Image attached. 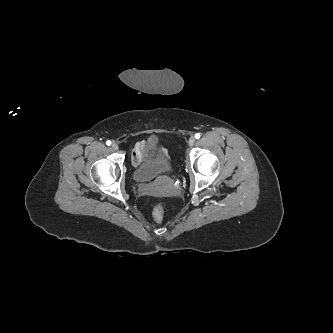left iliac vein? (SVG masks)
Instances as JSON below:
<instances>
[{
  "mask_svg": "<svg viewBox=\"0 0 333 333\" xmlns=\"http://www.w3.org/2000/svg\"><path fill=\"white\" fill-rule=\"evenodd\" d=\"M194 143H195V138H194V137H190V138H189V141H188V145H189L190 147H192V146L194 145Z\"/></svg>",
  "mask_w": 333,
  "mask_h": 333,
  "instance_id": "1",
  "label": "left iliac vein"
}]
</instances>
